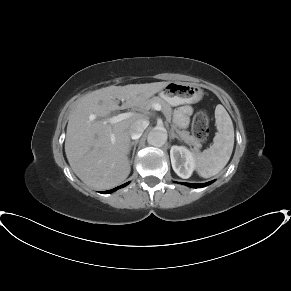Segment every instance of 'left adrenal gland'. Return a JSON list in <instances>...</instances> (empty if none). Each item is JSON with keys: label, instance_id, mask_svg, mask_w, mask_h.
<instances>
[{"label": "left adrenal gland", "instance_id": "a2214340", "mask_svg": "<svg viewBox=\"0 0 291 291\" xmlns=\"http://www.w3.org/2000/svg\"><path fill=\"white\" fill-rule=\"evenodd\" d=\"M171 138H177L178 140H180V138L174 133V131L171 132Z\"/></svg>", "mask_w": 291, "mask_h": 291}]
</instances>
